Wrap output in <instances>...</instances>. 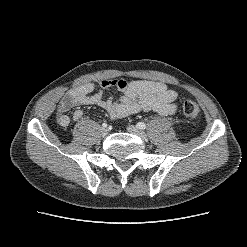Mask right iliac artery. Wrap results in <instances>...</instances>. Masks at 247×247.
Instances as JSON below:
<instances>
[{
	"mask_svg": "<svg viewBox=\"0 0 247 247\" xmlns=\"http://www.w3.org/2000/svg\"><path fill=\"white\" fill-rule=\"evenodd\" d=\"M102 127L106 128L107 127V123H103Z\"/></svg>",
	"mask_w": 247,
	"mask_h": 247,
	"instance_id": "82829eb1",
	"label": "right iliac artery"
}]
</instances>
